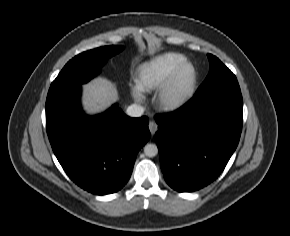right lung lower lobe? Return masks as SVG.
<instances>
[{"label":"right lung lower lobe","instance_id":"1","mask_svg":"<svg viewBox=\"0 0 290 236\" xmlns=\"http://www.w3.org/2000/svg\"><path fill=\"white\" fill-rule=\"evenodd\" d=\"M81 84L50 88L46 129L67 175L88 192H117L129 180L139 150L150 138L148 118H130L117 105L87 116L80 106Z\"/></svg>","mask_w":290,"mask_h":236}]
</instances>
